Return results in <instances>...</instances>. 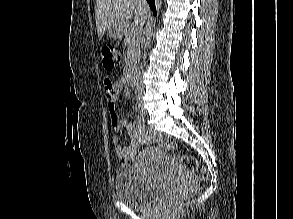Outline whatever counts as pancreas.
Returning a JSON list of instances; mask_svg holds the SVG:
<instances>
[{"instance_id": "pancreas-1", "label": "pancreas", "mask_w": 293, "mask_h": 219, "mask_svg": "<svg viewBox=\"0 0 293 219\" xmlns=\"http://www.w3.org/2000/svg\"><path fill=\"white\" fill-rule=\"evenodd\" d=\"M124 43L127 46L125 70H128L135 66L140 53L141 34L138 29L130 28L125 36Z\"/></svg>"}]
</instances>
